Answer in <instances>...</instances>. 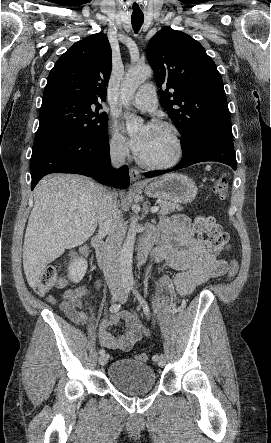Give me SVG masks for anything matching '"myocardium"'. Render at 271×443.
Wrapping results in <instances>:
<instances>
[{
    "instance_id": "f54148a6",
    "label": "myocardium",
    "mask_w": 271,
    "mask_h": 443,
    "mask_svg": "<svg viewBox=\"0 0 271 443\" xmlns=\"http://www.w3.org/2000/svg\"><path fill=\"white\" fill-rule=\"evenodd\" d=\"M154 126H158L160 128H166L168 129L173 136L174 142H175V152L173 156L165 161H150L145 159L144 157L140 156L141 163L148 168L151 169H166L170 168L177 163H179L184 155V143L182 139L181 132L179 129L172 123L167 121H154Z\"/></svg>"
}]
</instances>
